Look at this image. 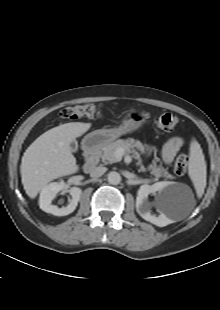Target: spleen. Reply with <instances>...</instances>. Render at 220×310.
Segmentation results:
<instances>
[{
    "instance_id": "1",
    "label": "spleen",
    "mask_w": 220,
    "mask_h": 310,
    "mask_svg": "<svg viewBox=\"0 0 220 310\" xmlns=\"http://www.w3.org/2000/svg\"><path fill=\"white\" fill-rule=\"evenodd\" d=\"M188 174L192 180L197 195L201 197L206 187V162L200 144L192 140L190 144V161Z\"/></svg>"
}]
</instances>
